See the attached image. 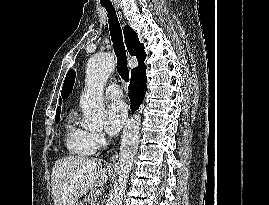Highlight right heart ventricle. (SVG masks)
<instances>
[{"mask_svg": "<svg viewBox=\"0 0 269 205\" xmlns=\"http://www.w3.org/2000/svg\"><path fill=\"white\" fill-rule=\"evenodd\" d=\"M90 134L76 123L72 115L66 123L65 144L70 154L76 157H89L94 154Z\"/></svg>", "mask_w": 269, "mask_h": 205, "instance_id": "1", "label": "right heart ventricle"}]
</instances>
